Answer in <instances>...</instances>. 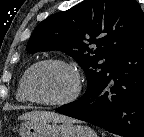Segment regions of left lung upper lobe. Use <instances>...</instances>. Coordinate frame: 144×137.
<instances>
[{
	"label": "left lung upper lobe",
	"mask_w": 144,
	"mask_h": 137,
	"mask_svg": "<svg viewBox=\"0 0 144 137\" xmlns=\"http://www.w3.org/2000/svg\"><path fill=\"white\" fill-rule=\"evenodd\" d=\"M143 27L144 13L136 0H85L42 21L26 49L29 53L61 50L72 56L86 74L89 92Z\"/></svg>",
	"instance_id": "obj_1"
}]
</instances>
